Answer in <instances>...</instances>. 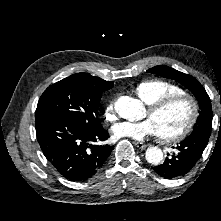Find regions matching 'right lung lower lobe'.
<instances>
[{
  "label": "right lung lower lobe",
  "instance_id": "obj_1",
  "mask_svg": "<svg viewBox=\"0 0 221 221\" xmlns=\"http://www.w3.org/2000/svg\"><path fill=\"white\" fill-rule=\"evenodd\" d=\"M35 128L46 159L70 181L91 178L102 168L113 149L107 144H94L107 140L109 134L103 127L88 130L47 110H36Z\"/></svg>",
  "mask_w": 221,
  "mask_h": 221
}]
</instances>
